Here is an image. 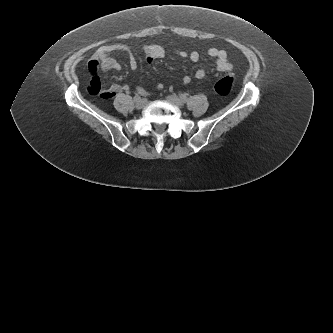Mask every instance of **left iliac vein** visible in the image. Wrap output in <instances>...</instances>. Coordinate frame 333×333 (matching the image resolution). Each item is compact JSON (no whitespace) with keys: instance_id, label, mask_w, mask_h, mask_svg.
<instances>
[{"instance_id":"1","label":"left iliac vein","mask_w":333,"mask_h":333,"mask_svg":"<svg viewBox=\"0 0 333 333\" xmlns=\"http://www.w3.org/2000/svg\"><path fill=\"white\" fill-rule=\"evenodd\" d=\"M167 101L179 108L183 107V101L176 95H169Z\"/></svg>"}]
</instances>
